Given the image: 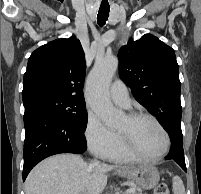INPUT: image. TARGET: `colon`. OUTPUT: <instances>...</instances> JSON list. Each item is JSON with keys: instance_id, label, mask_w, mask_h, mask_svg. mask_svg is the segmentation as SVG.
Here are the masks:
<instances>
[{"instance_id": "1", "label": "colon", "mask_w": 201, "mask_h": 194, "mask_svg": "<svg viewBox=\"0 0 201 194\" xmlns=\"http://www.w3.org/2000/svg\"><path fill=\"white\" fill-rule=\"evenodd\" d=\"M154 194H170V190L166 184H160L156 187Z\"/></svg>"}]
</instances>
